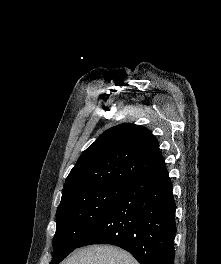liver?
I'll return each instance as SVG.
<instances>
[{
	"instance_id": "6515ba94",
	"label": "liver",
	"mask_w": 221,
	"mask_h": 264,
	"mask_svg": "<svg viewBox=\"0 0 221 264\" xmlns=\"http://www.w3.org/2000/svg\"><path fill=\"white\" fill-rule=\"evenodd\" d=\"M61 264H139L127 251L114 246H90L75 251Z\"/></svg>"
}]
</instances>
